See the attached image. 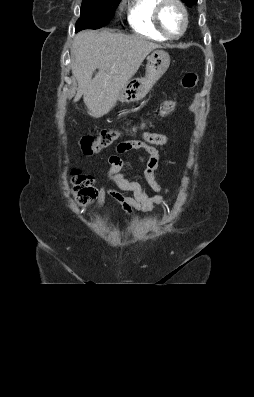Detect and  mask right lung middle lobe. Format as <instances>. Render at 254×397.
I'll return each mask as SVG.
<instances>
[{
    "mask_svg": "<svg viewBox=\"0 0 254 397\" xmlns=\"http://www.w3.org/2000/svg\"><path fill=\"white\" fill-rule=\"evenodd\" d=\"M121 0H83L81 15L76 22V32L83 29H98L107 25L114 17Z\"/></svg>",
    "mask_w": 254,
    "mask_h": 397,
    "instance_id": "dd1d6c3e",
    "label": "right lung middle lobe"
}]
</instances>
